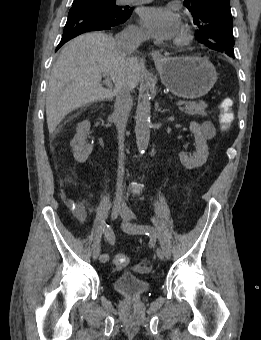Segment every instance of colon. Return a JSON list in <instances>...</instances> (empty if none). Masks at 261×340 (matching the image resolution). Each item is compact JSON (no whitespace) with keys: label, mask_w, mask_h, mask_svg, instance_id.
I'll return each instance as SVG.
<instances>
[{"label":"colon","mask_w":261,"mask_h":340,"mask_svg":"<svg viewBox=\"0 0 261 340\" xmlns=\"http://www.w3.org/2000/svg\"><path fill=\"white\" fill-rule=\"evenodd\" d=\"M233 100L224 98L219 103V121L222 128H228L234 121ZM128 257L124 254H116L113 258L114 266L122 269L128 264Z\"/></svg>","instance_id":"5ec220e1"}]
</instances>
